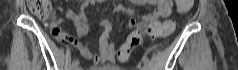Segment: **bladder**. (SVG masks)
<instances>
[{
  "label": "bladder",
  "mask_w": 238,
  "mask_h": 70,
  "mask_svg": "<svg viewBox=\"0 0 238 70\" xmlns=\"http://www.w3.org/2000/svg\"><path fill=\"white\" fill-rule=\"evenodd\" d=\"M90 70H124L119 67H98V68H91Z\"/></svg>",
  "instance_id": "1"
}]
</instances>
